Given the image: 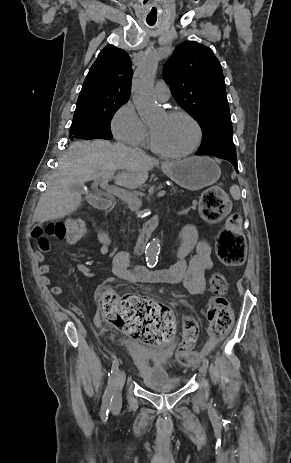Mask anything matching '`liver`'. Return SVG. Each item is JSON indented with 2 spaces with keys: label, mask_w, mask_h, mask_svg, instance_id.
I'll return each instance as SVG.
<instances>
[{
  "label": "liver",
  "mask_w": 291,
  "mask_h": 463,
  "mask_svg": "<svg viewBox=\"0 0 291 463\" xmlns=\"http://www.w3.org/2000/svg\"><path fill=\"white\" fill-rule=\"evenodd\" d=\"M157 161L143 151L132 149L121 143L105 140L73 142L59 160L57 171L46 193L37 204L34 222H45L63 218L75 212L82 203V187L95 179L115 178L117 185L135 189L146 182L148 172ZM117 170H122L114 177Z\"/></svg>",
  "instance_id": "1"
}]
</instances>
